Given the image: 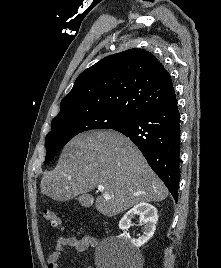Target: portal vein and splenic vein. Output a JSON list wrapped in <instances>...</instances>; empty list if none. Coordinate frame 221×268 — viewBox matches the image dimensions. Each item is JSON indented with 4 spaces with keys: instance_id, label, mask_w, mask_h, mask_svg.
Listing matches in <instances>:
<instances>
[{
    "instance_id": "18ae733b",
    "label": "portal vein and splenic vein",
    "mask_w": 221,
    "mask_h": 268,
    "mask_svg": "<svg viewBox=\"0 0 221 268\" xmlns=\"http://www.w3.org/2000/svg\"><path fill=\"white\" fill-rule=\"evenodd\" d=\"M98 190L100 192H103L104 191V187L103 186H98ZM103 196H104L105 199H110L111 198L108 194H104Z\"/></svg>"
}]
</instances>
